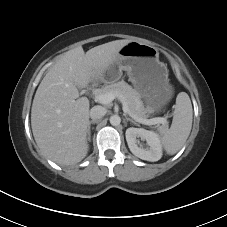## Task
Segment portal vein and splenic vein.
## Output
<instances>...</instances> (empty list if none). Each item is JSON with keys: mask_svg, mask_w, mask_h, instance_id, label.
Listing matches in <instances>:
<instances>
[{"mask_svg": "<svg viewBox=\"0 0 227 227\" xmlns=\"http://www.w3.org/2000/svg\"><path fill=\"white\" fill-rule=\"evenodd\" d=\"M96 101L101 104H109L115 99V95L113 93H106V94H98L96 95ZM123 104V111L129 114L133 119L137 122L145 124V125H156V124H165L167 120L163 117H155L151 119H143L135 115H131L129 112V108L126 102H122Z\"/></svg>", "mask_w": 227, "mask_h": 227, "instance_id": "portal-vein-and-splenic-vein-1", "label": "portal vein and splenic vein"}]
</instances>
